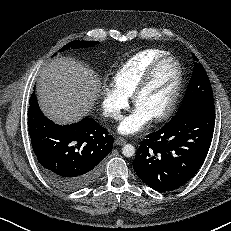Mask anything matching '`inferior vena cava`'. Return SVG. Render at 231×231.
Here are the masks:
<instances>
[{
    "label": "inferior vena cava",
    "instance_id": "obj_1",
    "mask_svg": "<svg viewBox=\"0 0 231 231\" xmlns=\"http://www.w3.org/2000/svg\"><path fill=\"white\" fill-rule=\"evenodd\" d=\"M115 117L117 118V117H118V115H117V114H115Z\"/></svg>",
    "mask_w": 231,
    "mask_h": 231
}]
</instances>
